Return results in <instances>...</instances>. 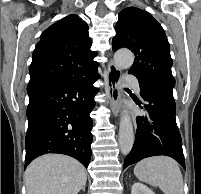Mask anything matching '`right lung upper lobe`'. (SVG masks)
I'll return each mask as SVG.
<instances>
[{"label": "right lung upper lobe", "instance_id": "cb5924a9", "mask_svg": "<svg viewBox=\"0 0 201 194\" xmlns=\"http://www.w3.org/2000/svg\"><path fill=\"white\" fill-rule=\"evenodd\" d=\"M88 25L69 15L47 28L33 52L29 84L40 81L68 82L97 70L91 51Z\"/></svg>", "mask_w": 201, "mask_h": 194}]
</instances>
